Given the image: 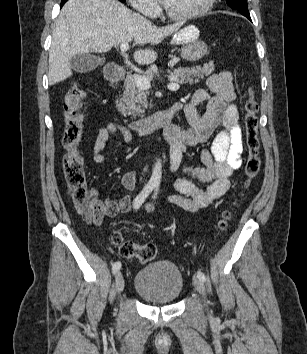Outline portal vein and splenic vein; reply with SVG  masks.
<instances>
[{
	"label": "portal vein and splenic vein",
	"instance_id": "1",
	"mask_svg": "<svg viewBox=\"0 0 307 354\" xmlns=\"http://www.w3.org/2000/svg\"><path fill=\"white\" fill-rule=\"evenodd\" d=\"M129 49V45L128 43H122L120 45V50L122 53H125L127 50ZM135 83L136 85L143 90L149 89L151 87V82L150 79L140 76V75H135L134 77ZM180 88L178 83L175 82H171L170 84H168V89L172 90V91H176Z\"/></svg>",
	"mask_w": 307,
	"mask_h": 354
}]
</instances>
